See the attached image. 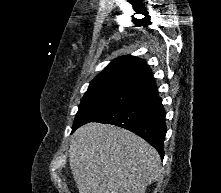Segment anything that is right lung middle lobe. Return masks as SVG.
Returning <instances> with one entry per match:
<instances>
[{"mask_svg": "<svg viewBox=\"0 0 221 193\" xmlns=\"http://www.w3.org/2000/svg\"><path fill=\"white\" fill-rule=\"evenodd\" d=\"M143 90L141 86L122 83L88 89L79 105L72 131L126 104Z\"/></svg>", "mask_w": 221, "mask_h": 193, "instance_id": "obj_1", "label": "right lung middle lobe"}]
</instances>
